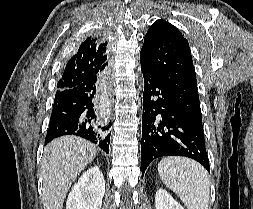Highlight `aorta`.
I'll list each match as a JSON object with an SVG mask.
<instances>
[{
	"mask_svg": "<svg viewBox=\"0 0 253 209\" xmlns=\"http://www.w3.org/2000/svg\"><path fill=\"white\" fill-rule=\"evenodd\" d=\"M140 89L142 90L144 88V80L143 77L141 76V80H140Z\"/></svg>",
	"mask_w": 253,
	"mask_h": 209,
	"instance_id": "1",
	"label": "aorta"
}]
</instances>
